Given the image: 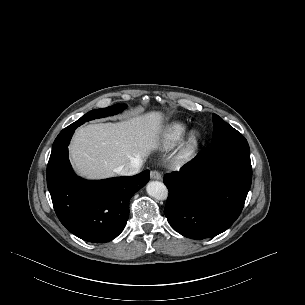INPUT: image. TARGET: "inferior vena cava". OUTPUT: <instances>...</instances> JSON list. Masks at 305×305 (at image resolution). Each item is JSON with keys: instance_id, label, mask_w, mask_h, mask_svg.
<instances>
[{"instance_id": "1", "label": "inferior vena cava", "mask_w": 305, "mask_h": 305, "mask_svg": "<svg viewBox=\"0 0 305 305\" xmlns=\"http://www.w3.org/2000/svg\"><path fill=\"white\" fill-rule=\"evenodd\" d=\"M143 160L141 159H133L127 164L121 165L115 168V172L122 176H132L137 174L142 168Z\"/></svg>"}]
</instances>
